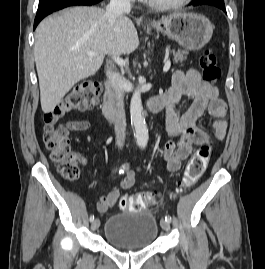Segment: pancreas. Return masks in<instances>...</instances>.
<instances>
[{"label": "pancreas", "mask_w": 265, "mask_h": 269, "mask_svg": "<svg viewBox=\"0 0 265 269\" xmlns=\"http://www.w3.org/2000/svg\"><path fill=\"white\" fill-rule=\"evenodd\" d=\"M188 55V51L186 50H178L176 53H173V61L174 63L183 62L186 60Z\"/></svg>", "instance_id": "pancreas-1"}]
</instances>
